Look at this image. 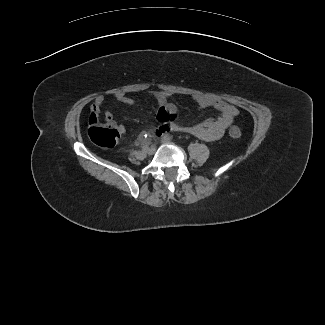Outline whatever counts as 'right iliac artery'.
Wrapping results in <instances>:
<instances>
[{
  "label": "right iliac artery",
  "mask_w": 325,
  "mask_h": 325,
  "mask_svg": "<svg viewBox=\"0 0 325 325\" xmlns=\"http://www.w3.org/2000/svg\"><path fill=\"white\" fill-rule=\"evenodd\" d=\"M148 149H149V147H148L147 144L143 145L142 150H143L144 152H146Z\"/></svg>",
  "instance_id": "right-iliac-artery-1"
}]
</instances>
